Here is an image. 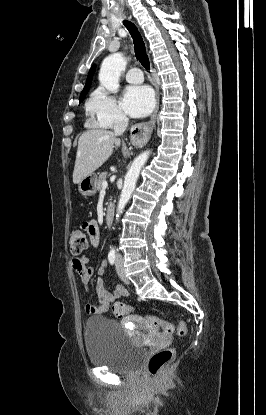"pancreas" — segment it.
I'll use <instances>...</instances> for the list:
<instances>
[{
	"label": "pancreas",
	"instance_id": "1",
	"mask_svg": "<svg viewBox=\"0 0 266 415\" xmlns=\"http://www.w3.org/2000/svg\"><path fill=\"white\" fill-rule=\"evenodd\" d=\"M107 177V172H102L98 179H97V183H96V189L97 190H101L102 189V182L106 179Z\"/></svg>",
	"mask_w": 266,
	"mask_h": 415
}]
</instances>
